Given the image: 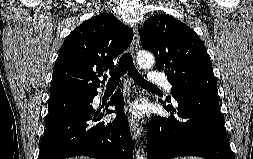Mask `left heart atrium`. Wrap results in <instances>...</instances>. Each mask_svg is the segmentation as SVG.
<instances>
[{
  "instance_id": "39dd6f15",
  "label": "left heart atrium",
  "mask_w": 253,
  "mask_h": 159,
  "mask_svg": "<svg viewBox=\"0 0 253 159\" xmlns=\"http://www.w3.org/2000/svg\"><path fill=\"white\" fill-rule=\"evenodd\" d=\"M127 112L133 116H141L144 112V106L140 102H134L127 108Z\"/></svg>"
}]
</instances>
